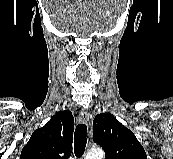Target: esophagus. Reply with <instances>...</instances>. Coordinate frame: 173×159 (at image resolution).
Returning <instances> with one entry per match:
<instances>
[{
    "instance_id": "1",
    "label": "esophagus",
    "mask_w": 173,
    "mask_h": 159,
    "mask_svg": "<svg viewBox=\"0 0 173 159\" xmlns=\"http://www.w3.org/2000/svg\"><path fill=\"white\" fill-rule=\"evenodd\" d=\"M79 120L83 124H88V122H89V114H88V112L86 110L83 109L80 112Z\"/></svg>"
}]
</instances>
